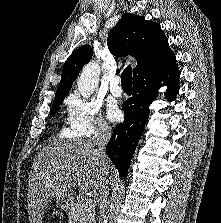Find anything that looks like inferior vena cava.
<instances>
[{"label": "inferior vena cava", "mask_w": 221, "mask_h": 223, "mask_svg": "<svg viewBox=\"0 0 221 223\" xmlns=\"http://www.w3.org/2000/svg\"><path fill=\"white\" fill-rule=\"evenodd\" d=\"M111 137V128L108 126L106 122H99L94 131V135L92 137V143L94 146H97V152L99 155V158L101 160L102 166H104L105 161L107 159L106 153H105V146L107 145L109 139ZM108 177L107 174L104 173L101 177L100 184H99V203H100V220L104 217V212L107 206V198H108Z\"/></svg>", "instance_id": "obj_1"}]
</instances>
